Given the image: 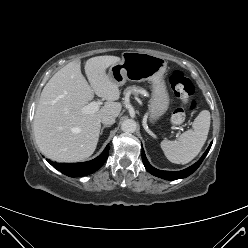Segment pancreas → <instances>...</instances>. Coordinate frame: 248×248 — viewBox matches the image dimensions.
Here are the masks:
<instances>
[{
    "mask_svg": "<svg viewBox=\"0 0 248 248\" xmlns=\"http://www.w3.org/2000/svg\"><path fill=\"white\" fill-rule=\"evenodd\" d=\"M130 94H135V95H138V94H141V95H146L147 92L145 89L139 87V86H130V87H127L125 90H124V95L125 96H129Z\"/></svg>",
    "mask_w": 248,
    "mask_h": 248,
    "instance_id": "obj_1",
    "label": "pancreas"
}]
</instances>
